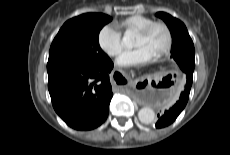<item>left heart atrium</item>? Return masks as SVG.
Here are the masks:
<instances>
[{"instance_id":"39dd6f15","label":"left heart atrium","mask_w":230,"mask_h":155,"mask_svg":"<svg viewBox=\"0 0 230 155\" xmlns=\"http://www.w3.org/2000/svg\"><path fill=\"white\" fill-rule=\"evenodd\" d=\"M154 55L146 47H139L135 50L126 51L121 54L116 63L121 67L139 66L148 63Z\"/></svg>"}]
</instances>
